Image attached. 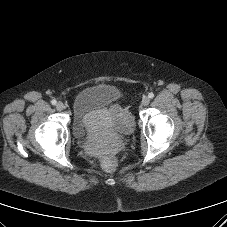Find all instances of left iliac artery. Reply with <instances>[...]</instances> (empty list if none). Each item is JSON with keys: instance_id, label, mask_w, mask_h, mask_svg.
Segmentation results:
<instances>
[{"instance_id": "1", "label": "left iliac artery", "mask_w": 227, "mask_h": 227, "mask_svg": "<svg viewBox=\"0 0 227 227\" xmlns=\"http://www.w3.org/2000/svg\"><path fill=\"white\" fill-rule=\"evenodd\" d=\"M148 97L152 99L154 97V94L151 92L148 94Z\"/></svg>"}]
</instances>
